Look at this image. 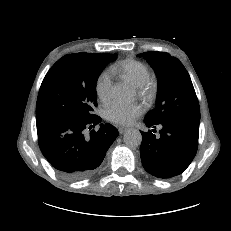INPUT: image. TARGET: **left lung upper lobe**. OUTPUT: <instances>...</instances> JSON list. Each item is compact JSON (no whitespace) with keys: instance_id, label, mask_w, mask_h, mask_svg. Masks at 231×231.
Instances as JSON below:
<instances>
[{"instance_id":"obj_1","label":"left lung upper lobe","mask_w":231,"mask_h":231,"mask_svg":"<svg viewBox=\"0 0 231 231\" xmlns=\"http://www.w3.org/2000/svg\"><path fill=\"white\" fill-rule=\"evenodd\" d=\"M159 82L156 107L145 119L154 123L183 118H200L198 99L190 76L183 64L166 52H145Z\"/></svg>"}]
</instances>
